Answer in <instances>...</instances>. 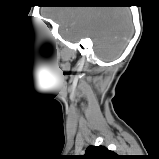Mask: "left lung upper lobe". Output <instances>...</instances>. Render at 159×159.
Listing matches in <instances>:
<instances>
[{
	"mask_svg": "<svg viewBox=\"0 0 159 159\" xmlns=\"http://www.w3.org/2000/svg\"><path fill=\"white\" fill-rule=\"evenodd\" d=\"M80 159H120V156L104 146H89Z\"/></svg>",
	"mask_w": 159,
	"mask_h": 159,
	"instance_id": "left-lung-upper-lobe-1",
	"label": "left lung upper lobe"
}]
</instances>
